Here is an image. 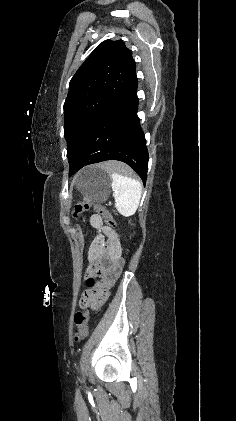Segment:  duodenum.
<instances>
[{
  "mask_svg": "<svg viewBox=\"0 0 236 421\" xmlns=\"http://www.w3.org/2000/svg\"><path fill=\"white\" fill-rule=\"evenodd\" d=\"M97 259V270L101 277L102 290L96 292L93 296L96 299L103 300L106 297V291L112 285L116 276L121 272L122 261L119 251L113 248H99Z\"/></svg>",
  "mask_w": 236,
  "mask_h": 421,
  "instance_id": "1",
  "label": "duodenum"
}]
</instances>
